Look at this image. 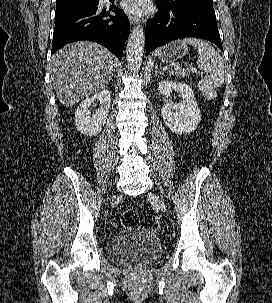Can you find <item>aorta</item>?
Returning a JSON list of instances; mask_svg holds the SVG:
<instances>
[{"label":"aorta","mask_w":272,"mask_h":303,"mask_svg":"<svg viewBox=\"0 0 272 303\" xmlns=\"http://www.w3.org/2000/svg\"><path fill=\"white\" fill-rule=\"evenodd\" d=\"M145 33L141 25L135 26L128 38L126 45V60L131 71L140 69L144 52Z\"/></svg>","instance_id":"1"}]
</instances>
